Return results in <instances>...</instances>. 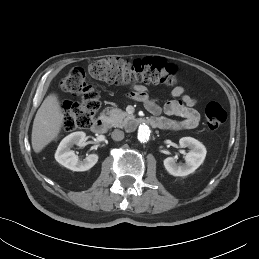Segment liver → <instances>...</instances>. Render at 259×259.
<instances>
[{"label":"liver","instance_id":"obj_1","mask_svg":"<svg viewBox=\"0 0 259 259\" xmlns=\"http://www.w3.org/2000/svg\"><path fill=\"white\" fill-rule=\"evenodd\" d=\"M63 123L64 113L58 96L52 93L44 99L34 118L31 142L35 153L41 152L58 136Z\"/></svg>","mask_w":259,"mask_h":259}]
</instances>
